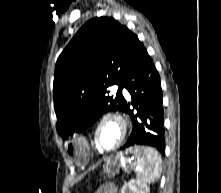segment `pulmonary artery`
<instances>
[{
  "label": "pulmonary artery",
  "instance_id": "obj_1",
  "mask_svg": "<svg viewBox=\"0 0 221 193\" xmlns=\"http://www.w3.org/2000/svg\"><path fill=\"white\" fill-rule=\"evenodd\" d=\"M115 88L117 89L118 87L116 86ZM122 92H123V94H124V96H125L126 98H129V97H130V95H129V93H128V91H127L126 89H123Z\"/></svg>",
  "mask_w": 221,
  "mask_h": 193
}]
</instances>
